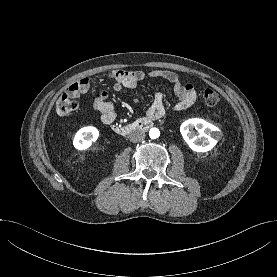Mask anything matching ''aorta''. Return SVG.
Returning <instances> with one entry per match:
<instances>
[{"label":"aorta","instance_id":"762f6f07","mask_svg":"<svg viewBox=\"0 0 277 277\" xmlns=\"http://www.w3.org/2000/svg\"><path fill=\"white\" fill-rule=\"evenodd\" d=\"M149 135H150V138L156 139L159 137L160 131L157 128H151L149 131Z\"/></svg>","mask_w":277,"mask_h":277}]
</instances>
